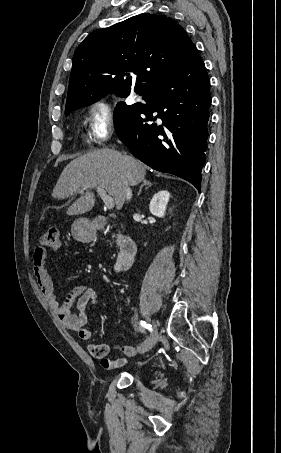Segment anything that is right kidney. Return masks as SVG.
<instances>
[{
  "label": "right kidney",
  "mask_w": 281,
  "mask_h": 453,
  "mask_svg": "<svg viewBox=\"0 0 281 453\" xmlns=\"http://www.w3.org/2000/svg\"><path fill=\"white\" fill-rule=\"evenodd\" d=\"M169 196L168 190H159L153 194L149 204L150 212L155 216H164Z\"/></svg>",
  "instance_id": "ca27d5eb"
}]
</instances>
